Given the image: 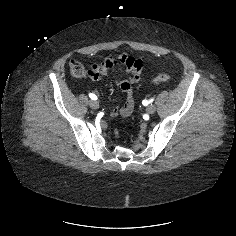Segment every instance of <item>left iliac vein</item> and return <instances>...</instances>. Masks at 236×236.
Wrapping results in <instances>:
<instances>
[{
  "instance_id": "4c4485c4",
  "label": "left iliac vein",
  "mask_w": 236,
  "mask_h": 236,
  "mask_svg": "<svg viewBox=\"0 0 236 236\" xmlns=\"http://www.w3.org/2000/svg\"><path fill=\"white\" fill-rule=\"evenodd\" d=\"M155 111H156V107H155V105H153V104L148 105V106L146 107V112H147L148 114H153V113H155Z\"/></svg>"
}]
</instances>
